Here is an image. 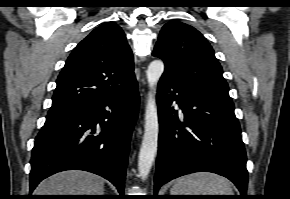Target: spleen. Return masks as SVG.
Segmentation results:
<instances>
[{
  "mask_svg": "<svg viewBox=\"0 0 290 199\" xmlns=\"http://www.w3.org/2000/svg\"><path fill=\"white\" fill-rule=\"evenodd\" d=\"M171 195H234L230 182L217 174L198 172L179 178Z\"/></svg>",
  "mask_w": 290,
  "mask_h": 199,
  "instance_id": "spleen-1",
  "label": "spleen"
}]
</instances>
